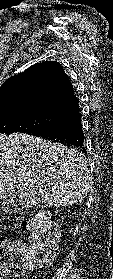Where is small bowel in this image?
<instances>
[{
    "label": "small bowel",
    "instance_id": "obj_1",
    "mask_svg": "<svg viewBox=\"0 0 113 279\" xmlns=\"http://www.w3.org/2000/svg\"><path fill=\"white\" fill-rule=\"evenodd\" d=\"M4 275H5V274L1 273V274H0V279H4V278H5Z\"/></svg>",
    "mask_w": 113,
    "mask_h": 279
}]
</instances>
